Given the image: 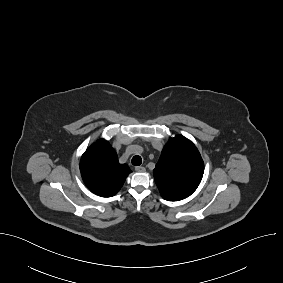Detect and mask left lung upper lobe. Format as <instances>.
Returning <instances> with one entry per match:
<instances>
[{
    "mask_svg": "<svg viewBox=\"0 0 283 283\" xmlns=\"http://www.w3.org/2000/svg\"><path fill=\"white\" fill-rule=\"evenodd\" d=\"M203 172L199 151L182 135L170 138L153 171L161 196L168 201L190 196L200 184Z\"/></svg>",
    "mask_w": 283,
    "mask_h": 283,
    "instance_id": "left-lung-upper-lobe-1",
    "label": "left lung upper lobe"
}]
</instances>
